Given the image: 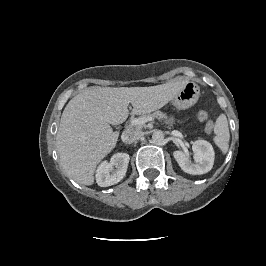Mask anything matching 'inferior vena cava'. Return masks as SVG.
Here are the masks:
<instances>
[{
    "mask_svg": "<svg viewBox=\"0 0 266 266\" xmlns=\"http://www.w3.org/2000/svg\"><path fill=\"white\" fill-rule=\"evenodd\" d=\"M143 137V133L138 130H126L122 133L121 139L125 144H132Z\"/></svg>",
    "mask_w": 266,
    "mask_h": 266,
    "instance_id": "inferior-vena-cava-1",
    "label": "inferior vena cava"
}]
</instances>
